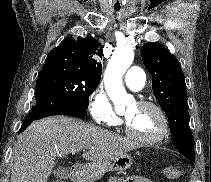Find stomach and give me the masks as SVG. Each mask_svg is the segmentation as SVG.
<instances>
[{
  "mask_svg": "<svg viewBox=\"0 0 211 182\" xmlns=\"http://www.w3.org/2000/svg\"><path fill=\"white\" fill-rule=\"evenodd\" d=\"M132 165V157L123 153L116 157L103 161L93 162L75 172V182H95L107 172H121L129 169Z\"/></svg>",
  "mask_w": 211,
  "mask_h": 182,
  "instance_id": "0dacf381",
  "label": "stomach"
}]
</instances>
